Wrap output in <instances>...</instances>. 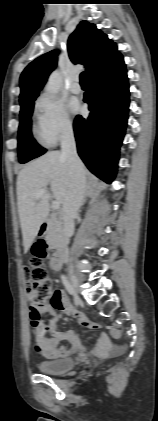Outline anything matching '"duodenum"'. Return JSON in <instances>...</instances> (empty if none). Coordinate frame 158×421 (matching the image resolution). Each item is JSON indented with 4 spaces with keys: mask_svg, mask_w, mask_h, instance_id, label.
Returning a JSON list of instances; mask_svg holds the SVG:
<instances>
[{
    "mask_svg": "<svg viewBox=\"0 0 158 421\" xmlns=\"http://www.w3.org/2000/svg\"><path fill=\"white\" fill-rule=\"evenodd\" d=\"M48 221L45 220L40 226V235H43L47 229ZM65 257V248L62 246L57 249L51 258V267L53 270L61 269Z\"/></svg>",
    "mask_w": 158,
    "mask_h": 421,
    "instance_id": "1",
    "label": "duodenum"
}]
</instances>
